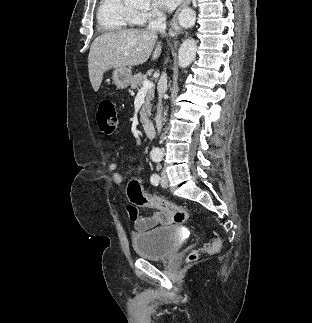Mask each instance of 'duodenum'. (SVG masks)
Here are the masks:
<instances>
[{
  "mask_svg": "<svg viewBox=\"0 0 312 323\" xmlns=\"http://www.w3.org/2000/svg\"><path fill=\"white\" fill-rule=\"evenodd\" d=\"M140 125L146 136L153 138L154 129L151 120L148 117H142L140 119Z\"/></svg>",
  "mask_w": 312,
  "mask_h": 323,
  "instance_id": "obj_1",
  "label": "duodenum"
}]
</instances>
